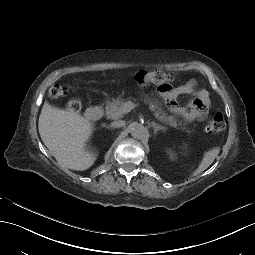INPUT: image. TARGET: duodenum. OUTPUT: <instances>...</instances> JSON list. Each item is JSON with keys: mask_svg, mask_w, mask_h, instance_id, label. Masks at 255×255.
Masks as SVG:
<instances>
[{"mask_svg": "<svg viewBox=\"0 0 255 255\" xmlns=\"http://www.w3.org/2000/svg\"><path fill=\"white\" fill-rule=\"evenodd\" d=\"M103 111L100 107H90L86 110V117L91 121H96L101 118Z\"/></svg>", "mask_w": 255, "mask_h": 255, "instance_id": "1", "label": "duodenum"}]
</instances>
